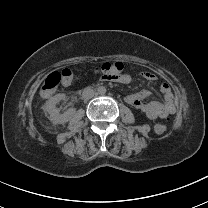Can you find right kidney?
I'll return each instance as SVG.
<instances>
[{
  "label": "right kidney",
  "mask_w": 208,
  "mask_h": 208,
  "mask_svg": "<svg viewBox=\"0 0 208 208\" xmlns=\"http://www.w3.org/2000/svg\"><path fill=\"white\" fill-rule=\"evenodd\" d=\"M66 95L63 93L54 95L51 99L46 102L44 109L48 112L49 120L54 124H63L69 121L70 117L67 114H61L59 109L56 107V104L65 99Z\"/></svg>",
  "instance_id": "obj_1"
}]
</instances>
